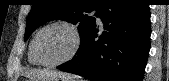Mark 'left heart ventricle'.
<instances>
[{"label":"left heart ventricle","instance_id":"left-heart-ventricle-1","mask_svg":"<svg viewBox=\"0 0 169 81\" xmlns=\"http://www.w3.org/2000/svg\"><path fill=\"white\" fill-rule=\"evenodd\" d=\"M74 43L71 32L64 27H53L43 32L37 43V51L42 61L52 63L64 58Z\"/></svg>","mask_w":169,"mask_h":81}]
</instances>
